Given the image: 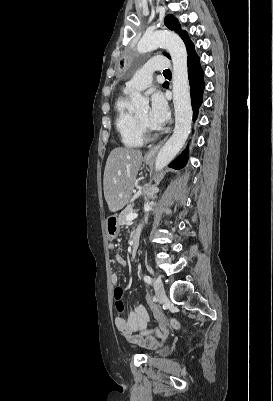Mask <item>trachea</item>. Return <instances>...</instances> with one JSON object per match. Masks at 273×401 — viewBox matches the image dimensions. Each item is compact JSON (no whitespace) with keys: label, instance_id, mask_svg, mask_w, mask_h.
I'll return each instance as SVG.
<instances>
[{"label":"trachea","instance_id":"obj_1","mask_svg":"<svg viewBox=\"0 0 273 401\" xmlns=\"http://www.w3.org/2000/svg\"><path fill=\"white\" fill-rule=\"evenodd\" d=\"M163 73H171V71L169 69L164 70Z\"/></svg>","mask_w":273,"mask_h":401}]
</instances>
